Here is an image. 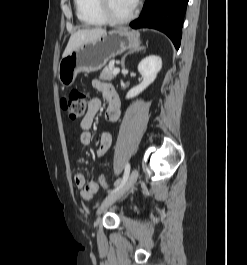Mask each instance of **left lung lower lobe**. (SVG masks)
<instances>
[{
	"instance_id": "1",
	"label": "left lung lower lobe",
	"mask_w": 247,
	"mask_h": 265,
	"mask_svg": "<svg viewBox=\"0 0 247 265\" xmlns=\"http://www.w3.org/2000/svg\"><path fill=\"white\" fill-rule=\"evenodd\" d=\"M188 0H146L132 28H153L165 33L179 49Z\"/></svg>"
}]
</instances>
